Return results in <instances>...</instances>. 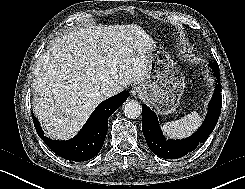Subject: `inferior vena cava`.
Returning a JSON list of instances; mask_svg holds the SVG:
<instances>
[{"label":"inferior vena cava","mask_w":245,"mask_h":189,"mask_svg":"<svg viewBox=\"0 0 245 189\" xmlns=\"http://www.w3.org/2000/svg\"><path fill=\"white\" fill-rule=\"evenodd\" d=\"M118 92V89L115 87H108L105 91H104V95L108 98L111 97L113 95H115Z\"/></svg>","instance_id":"1"}]
</instances>
